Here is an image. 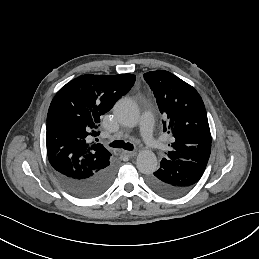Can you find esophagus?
Instances as JSON below:
<instances>
[{
    "instance_id": "esophagus-1",
    "label": "esophagus",
    "mask_w": 259,
    "mask_h": 259,
    "mask_svg": "<svg viewBox=\"0 0 259 259\" xmlns=\"http://www.w3.org/2000/svg\"><path fill=\"white\" fill-rule=\"evenodd\" d=\"M122 154L126 157L132 158L134 156H136L137 152L136 151H122Z\"/></svg>"
}]
</instances>
